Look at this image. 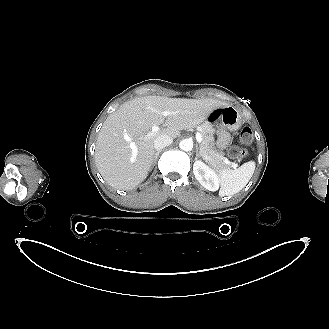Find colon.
Masks as SVG:
<instances>
[{"instance_id": "5ec220e1", "label": "colon", "mask_w": 329, "mask_h": 329, "mask_svg": "<svg viewBox=\"0 0 329 329\" xmlns=\"http://www.w3.org/2000/svg\"><path fill=\"white\" fill-rule=\"evenodd\" d=\"M239 140L244 146H249L254 143L253 131L249 126H243L239 132ZM228 154L233 159L245 158L248 156V151L244 148L232 146L229 148Z\"/></svg>"}]
</instances>
